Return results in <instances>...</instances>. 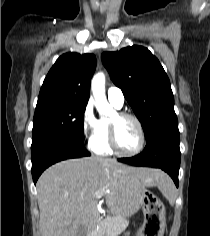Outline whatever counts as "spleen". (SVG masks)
I'll return each mask as SVG.
<instances>
[{
    "label": "spleen",
    "instance_id": "1",
    "mask_svg": "<svg viewBox=\"0 0 210 236\" xmlns=\"http://www.w3.org/2000/svg\"><path fill=\"white\" fill-rule=\"evenodd\" d=\"M165 190H166V195L171 196V194H172V192H173V185H172V182L169 183V184H166Z\"/></svg>",
    "mask_w": 210,
    "mask_h": 236
}]
</instances>
